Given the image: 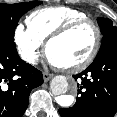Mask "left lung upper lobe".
Returning a JSON list of instances; mask_svg holds the SVG:
<instances>
[{"instance_id": "left-lung-upper-lobe-1", "label": "left lung upper lobe", "mask_w": 117, "mask_h": 117, "mask_svg": "<svg viewBox=\"0 0 117 117\" xmlns=\"http://www.w3.org/2000/svg\"><path fill=\"white\" fill-rule=\"evenodd\" d=\"M97 20L101 33L103 34L102 44L97 54L98 56L113 43L117 42V27L114 26L113 22L108 18H98Z\"/></svg>"}]
</instances>
